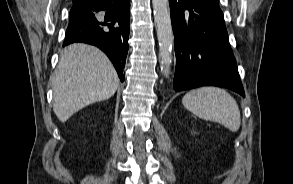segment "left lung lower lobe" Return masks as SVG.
I'll use <instances>...</instances> for the list:
<instances>
[{"instance_id": "left-lung-lower-lobe-1", "label": "left lung lower lobe", "mask_w": 293, "mask_h": 184, "mask_svg": "<svg viewBox=\"0 0 293 184\" xmlns=\"http://www.w3.org/2000/svg\"><path fill=\"white\" fill-rule=\"evenodd\" d=\"M176 91L220 86L245 97L218 0H169Z\"/></svg>"}]
</instances>
